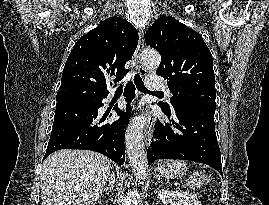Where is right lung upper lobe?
<instances>
[{
  "instance_id": "1",
  "label": "right lung upper lobe",
  "mask_w": 269,
  "mask_h": 205,
  "mask_svg": "<svg viewBox=\"0 0 269 205\" xmlns=\"http://www.w3.org/2000/svg\"><path fill=\"white\" fill-rule=\"evenodd\" d=\"M137 44V30L117 16L82 36L65 63L56 108L88 105L106 98V79L115 75L117 82L127 74L124 65Z\"/></svg>"
}]
</instances>
